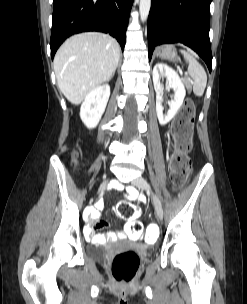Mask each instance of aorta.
Segmentation results:
<instances>
[{
  "instance_id": "aorta-1",
  "label": "aorta",
  "mask_w": 247,
  "mask_h": 304,
  "mask_svg": "<svg viewBox=\"0 0 247 304\" xmlns=\"http://www.w3.org/2000/svg\"><path fill=\"white\" fill-rule=\"evenodd\" d=\"M151 7V0H140L139 12L142 22L146 21Z\"/></svg>"
}]
</instances>
